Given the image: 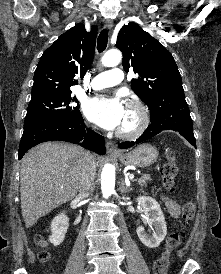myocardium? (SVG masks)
<instances>
[{
    "instance_id": "f54148a6",
    "label": "myocardium",
    "mask_w": 221,
    "mask_h": 274,
    "mask_svg": "<svg viewBox=\"0 0 221 274\" xmlns=\"http://www.w3.org/2000/svg\"><path fill=\"white\" fill-rule=\"evenodd\" d=\"M126 107L135 110L138 120L137 123L129 129H119L117 136L123 139H135L147 129L150 123L149 110L146 105L138 99L128 100Z\"/></svg>"
}]
</instances>
